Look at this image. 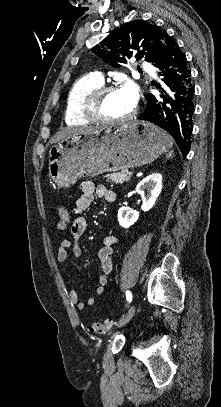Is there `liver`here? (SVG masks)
Masks as SVG:
<instances>
[{"label":"liver","instance_id":"liver-1","mask_svg":"<svg viewBox=\"0 0 221 407\" xmlns=\"http://www.w3.org/2000/svg\"><path fill=\"white\" fill-rule=\"evenodd\" d=\"M96 128L92 127H81V128H65L60 131H58L52 138L51 143H57L61 139L70 136V135H76V134H81V133H91L96 131Z\"/></svg>","mask_w":221,"mask_h":407}]
</instances>
